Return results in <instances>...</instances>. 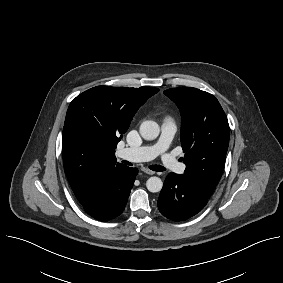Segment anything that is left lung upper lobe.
Instances as JSON below:
<instances>
[{"label": "left lung upper lobe", "mask_w": 283, "mask_h": 283, "mask_svg": "<svg viewBox=\"0 0 283 283\" xmlns=\"http://www.w3.org/2000/svg\"><path fill=\"white\" fill-rule=\"evenodd\" d=\"M182 115L181 145L184 176L203 194L211 196L218 184L229 145V124L218 100L196 88L164 91Z\"/></svg>", "instance_id": "5c2ea615"}]
</instances>
